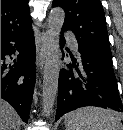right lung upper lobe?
<instances>
[{
	"label": "right lung upper lobe",
	"instance_id": "cb5924a9",
	"mask_svg": "<svg viewBox=\"0 0 123 130\" xmlns=\"http://www.w3.org/2000/svg\"><path fill=\"white\" fill-rule=\"evenodd\" d=\"M29 0H1V37L29 30Z\"/></svg>",
	"mask_w": 123,
	"mask_h": 130
}]
</instances>
